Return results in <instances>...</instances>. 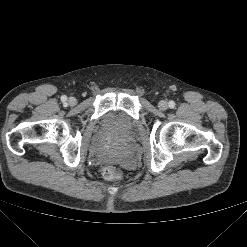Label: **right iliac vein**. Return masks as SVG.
Listing matches in <instances>:
<instances>
[{"mask_svg":"<svg viewBox=\"0 0 247 247\" xmlns=\"http://www.w3.org/2000/svg\"><path fill=\"white\" fill-rule=\"evenodd\" d=\"M76 103H77V100H76L75 97H70V98L68 99V104H69L70 106H74V105H76Z\"/></svg>","mask_w":247,"mask_h":247,"instance_id":"63e3f726","label":"right iliac vein"}]
</instances>
